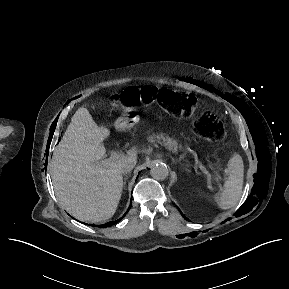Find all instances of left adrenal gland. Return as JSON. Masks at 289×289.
Listing matches in <instances>:
<instances>
[{
    "instance_id": "obj_1",
    "label": "left adrenal gland",
    "mask_w": 289,
    "mask_h": 289,
    "mask_svg": "<svg viewBox=\"0 0 289 289\" xmlns=\"http://www.w3.org/2000/svg\"><path fill=\"white\" fill-rule=\"evenodd\" d=\"M185 170H186L187 172H189V169H188V168H186V167H185Z\"/></svg>"
}]
</instances>
